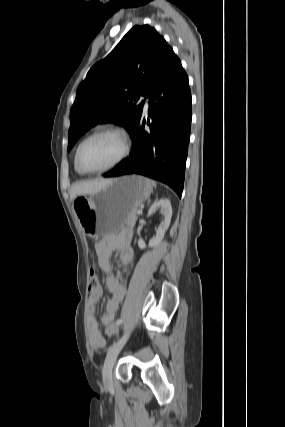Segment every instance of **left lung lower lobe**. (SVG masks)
I'll return each mask as SVG.
<instances>
[{
    "label": "left lung lower lobe",
    "instance_id": "left-lung-lower-lobe-1",
    "mask_svg": "<svg viewBox=\"0 0 285 427\" xmlns=\"http://www.w3.org/2000/svg\"><path fill=\"white\" fill-rule=\"evenodd\" d=\"M149 130L140 118L132 135V154L104 177L141 174L169 185L179 197L184 185L191 129V92L187 74L173 50L145 96Z\"/></svg>",
    "mask_w": 285,
    "mask_h": 427
}]
</instances>
